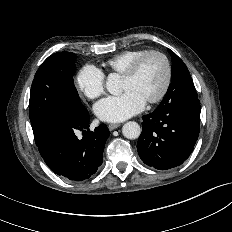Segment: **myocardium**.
I'll return each mask as SVG.
<instances>
[{"label": "myocardium", "instance_id": "obj_1", "mask_svg": "<svg viewBox=\"0 0 232 232\" xmlns=\"http://www.w3.org/2000/svg\"><path fill=\"white\" fill-rule=\"evenodd\" d=\"M151 56H157V57L161 58V60L164 63V67H165V78H164V83H163L161 90L159 91V93L156 96H154L146 101L148 104H155V103L160 102L166 96V94L170 88L171 82H172V66H171L169 58L167 57V55L165 53L158 51V50L146 51L145 53L140 55L138 58H136L128 66V68L125 70V72L122 75L125 78L134 77L137 74V72L139 71V69L142 66V64L144 63V61Z\"/></svg>", "mask_w": 232, "mask_h": 232}]
</instances>
